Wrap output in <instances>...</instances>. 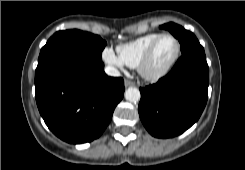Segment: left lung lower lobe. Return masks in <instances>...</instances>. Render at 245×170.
<instances>
[{
	"label": "left lung lower lobe",
	"mask_w": 245,
	"mask_h": 170,
	"mask_svg": "<svg viewBox=\"0 0 245 170\" xmlns=\"http://www.w3.org/2000/svg\"><path fill=\"white\" fill-rule=\"evenodd\" d=\"M208 85L206 57L183 54L168 75L140 88L138 111L147 131L157 138L185 132L205 108Z\"/></svg>",
	"instance_id": "obj_1"
}]
</instances>
